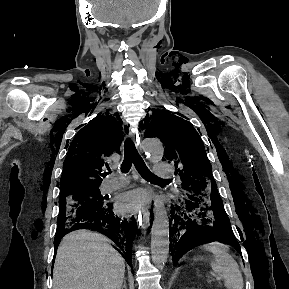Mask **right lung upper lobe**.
<instances>
[{"label":"right lung upper lobe","mask_w":289,"mask_h":289,"mask_svg":"<svg viewBox=\"0 0 289 289\" xmlns=\"http://www.w3.org/2000/svg\"><path fill=\"white\" fill-rule=\"evenodd\" d=\"M121 123L106 111L84 126L70 144L60 181L61 195L99 189L102 167L113 152H120Z\"/></svg>","instance_id":"obj_1"}]
</instances>
